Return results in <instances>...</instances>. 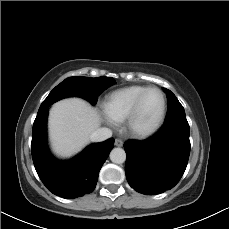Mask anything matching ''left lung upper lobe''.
<instances>
[{
  "instance_id": "1",
  "label": "left lung upper lobe",
  "mask_w": 229,
  "mask_h": 229,
  "mask_svg": "<svg viewBox=\"0 0 229 229\" xmlns=\"http://www.w3.org/2000/svg\"><path fill=\"white\" fill-rule=\"evenodd\" d=\"M168 100V111L165 122L173 121L180 118H186L183 106L176 96L168 89H164Z\"/></svg>"
}]
</instances>
